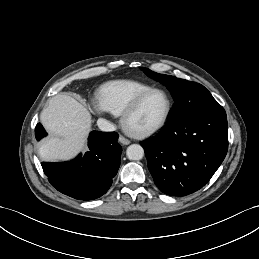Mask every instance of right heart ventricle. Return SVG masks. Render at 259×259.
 <instances>
[{
	"mask_svg": "<svg viewBox=\"0 0 259 259\" xmlns=\"http://www.w3.org/2000/svg\"><path fill=\"white\" fill-rule=\"evenodd\" d=\"M152 87L133 80H117L105 84L99 93V101L115 116H120L128 105L140 94Z\"/></svg>",
	"mask_w": 259,
	"mask_h": 259,
	"instance_id": "obj_1",
	"label": "right heart ventricle"
}]
</instances>
